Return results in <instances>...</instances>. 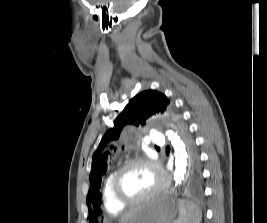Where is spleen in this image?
I'll list each match as a JSON object with an SVG mask.
<instances>
[{
	"label": "spleen",
	"instance_id": "obj_1",
	"mask_svg": "<svg viewBox=\"0 0 267 223\" xmlns=\"http://www.w3.org/2000/svg\"><path fill=\"white\" fill-rule=\"evenodd\" d=\"M179 216L175 223H201L202 211L193 202L188 200L178 201Z\"/></svg>",
	"mask_w": 267,
	"mask_h": 223
}]
</instances>
